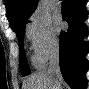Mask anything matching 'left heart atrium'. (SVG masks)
<instances>
[{
	"label": "left heart atrium",
	"mask_w": 89,
	"mask_h": 89,
	"mask_svg": "<svg viewBox=\"0 0 89 89\" xmlns=\"http://www.w3.org/2000/svg\"><path fill=\"white\" fill-rule=\"evenodd\" d=\"M54 23H55V27L56 29L60 30L63 28L64 23L62 21V18L59 14H55L54 15Z\"/></svg>",
	"instance_id": "39dd6f15"
}]
</instances>
